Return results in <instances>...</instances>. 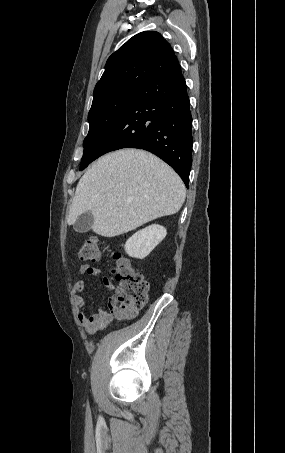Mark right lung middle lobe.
Here are the masks:
<instances>
[{"label": "right lung middle lobe", "instance_id": "1", "mask_svg": "<svg viewBox=\"0 0 285 453\" xmlns=\"http://www.w3.org/2000/svg\"><path fill=\"white\" fill-rule=\"evenodd\" d=\"M137 94L138 91L124 93L90 109L88 114L90 128L83 142L84 153L80 170L99 157L103 144Z\"/></svg>", "mask_w": 285, "mask_h": 453}]
</instances>
